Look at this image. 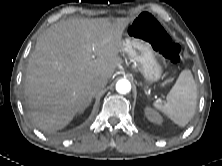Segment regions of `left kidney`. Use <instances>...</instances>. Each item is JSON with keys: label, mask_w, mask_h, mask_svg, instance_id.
<instances>
[{"label": "left kidney", "mask_w": 222, "mask_h": 166, "mask_svg": "<svg viewBox=\"0 0 222 166\" xmlns=\"http://www.w3.org/2000/svg\"><path fill=\"white\" fill-rule=\"evenodd\" d=\"M145 115L147 119L152 123L161 124L163 121L161 115L151 107L145 108Z\"/></svg>", "instance_id": "5707ae66"}]
</instances>
